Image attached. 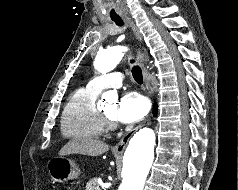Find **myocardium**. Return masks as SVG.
<instances>
[{
  "mask_svg": "<svg viewBox=\"0 0 238 190\" xmlns=\"http://www.w3.org/2000/svg\"><path fill=\"white\" fill-rule=\"evenodd\" d=\"M99 118L105 130H114L118 127L116 120L108 117L103 111H99Z\"/></svg>",
  "mask_w": 238,
  "mask_h": 190,
  "instance_id": "myocardium-1",
  "label": "myocardium"
}]
</instances>
